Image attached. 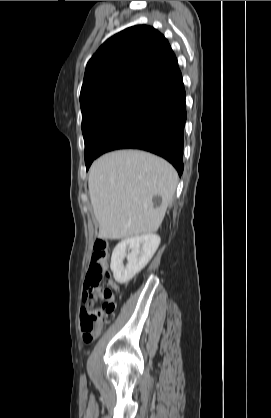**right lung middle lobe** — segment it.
Listing matches in <instances>:
<instances>
[{"instance_id":"right-lung-middle-lobe-1","label":"right lung middle lobe","mask_w":271,"mask_h":418,"mask_svg":"<svg viewBox=\"0 0 271 418\" xmlns=\"http://www.w3.org/2000/svg\"><path fill=\"white\" fill-rule=\"evenodd\" d=\"M151 101L124 94L95 102L82 108V132L85 142V163L88 170L106 141Z\"/></svg>"}]
</instances>
